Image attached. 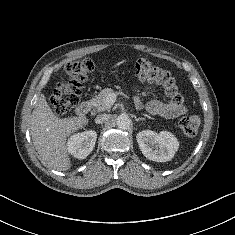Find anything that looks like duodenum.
I'll use <instances>...</instances> for the list:
<instances>
[{
	"instance_id": "1",
	"label": "duodenum",
	"mask_w": 235,
	"mask_h": 235,
	"mask_svg": "<svg viewBox=\"0 0 235 235\" xmlns=\"http://www.w3.org/2000/svg\"><path fill=\"white\" fill-rule=\"evenodd\" d=\"M90 110H91L90 102L89 101H83L78 105V107L76 109V113L79 116H85L86 114L89 113Z\"/></svg>"
}]
</instances>
